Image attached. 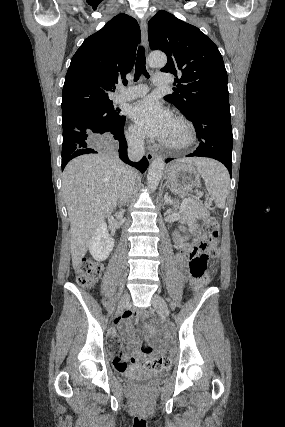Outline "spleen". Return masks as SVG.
<instances>
[{
    "instance_id": "3e777b00",
    "label": "spleen",
    "mask_w": 285,
    "mask_h": 427,
    "mask_svg": "<svg viewBox=\"0 0 285 427\" xmlns=\"http://www.w3.org/2000/svg\"><path fill=\"white\" fill-rule=\"evenodd\" d=\"M197 169L211 198L219 208H224L230 190V176L227 169L213 160L206 165L198 166Z\"/></svg>"
}]
</instances>
